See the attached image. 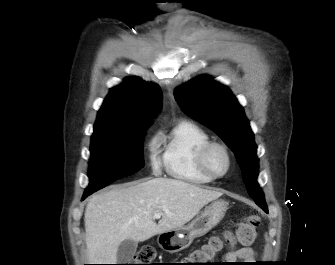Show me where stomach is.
<instances>
[{
	"label": "stomach",
	"mask_w": 335,
	"mask_h": 265,
	"mask_svg": "<svg viewBox=\"0 0 335 265\" xmlns=\"http://www.w3.org/2000/svg\"><path fill=\"white\" fill-rule=\"evenodd\" d=\"M227 209L228 203L225 200H214L188 225L159 234L158 245L169 253L187 248L195 238L214 228L224 218Z\"/></svg>",
	"instance_id": "0dacf381"
}]
</instances>
